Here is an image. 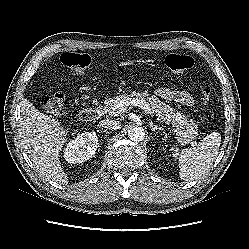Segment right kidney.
I'll return each mask as SVG.
<instances>
[{"instance_id":"obj_1","label":"right kidney","mask_w":249,"mask_h":249,"mask_svg":"<svg viewBox=\"0 0 249 249\" xmlns=\"http://www.w3.org/2000/svg\"><path fill=\"white\" fill-rule=\"evenodd\" d=\"M98 147L96 132H84L71 140L65 150L64 158L68 163H82L89 160Z\"/></svg>"}]
</instances>
